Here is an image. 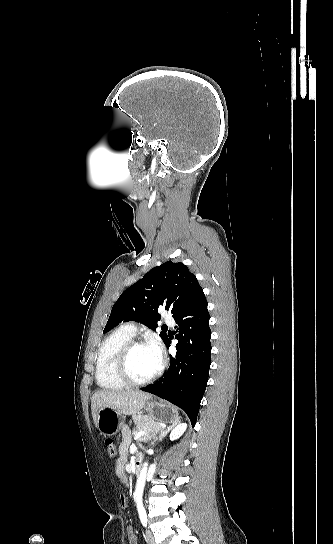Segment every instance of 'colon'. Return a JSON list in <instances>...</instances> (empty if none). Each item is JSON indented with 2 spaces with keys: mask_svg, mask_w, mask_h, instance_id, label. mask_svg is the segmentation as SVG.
I'll return each mask as SVG.
<instances>
[{
  "mask_svg": "<svg viewBox=\"0 0 333 544\" xmlns=\"http://www.w3.org/2000/svg\"><path fill=\"white\" fill-rule=\"evenodd\" d=\"M105 446L109 457L114 458L117 455L116 445L113 439L107 438L105 440Z\"/></svg>",
  "mask_w": 333,
  "mask_h": 544,
  "instance_id": "1",
  "label": "colon"
}]
</instances>
